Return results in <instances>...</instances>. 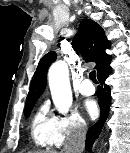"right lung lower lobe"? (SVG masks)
Instances as JSON below:
<instances>
[{
  "label": "right lung lower lobe",
  "mask_w": 130,
  "mask_h": 153,
  "mask_svg": "<svg viewBox=\"0 0 130 153\" xmlns=\"http://www.w3.org/2000/svg\"><path fill=\"white\" fill-rule=\"evenodd\" d=\"M111 72L112 68L109 65L106 69H104L100 74L97 75L98 80L101 84L97 90L101 115L98 122L95 123L92 127H90V129L87 132V138L85 143V149L87 151H91L93 142L98 138L109 114V107L111 104V89L108 85L105 84V81Z\"/></svg>",
  "instance_id": "obj_1"
}]
</instances>
